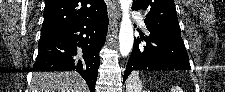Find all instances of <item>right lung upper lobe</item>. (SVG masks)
Instances as JSON below:
<instances>
[{"instance_id": "1", "label": "right lung upper lobe", "mask_w": 225, "mask_h": 92, "mask_svg": "<svg viewBox=\"0 0 225 92\" xmlns=\"http://www.w3.org/2000/svg\"><path fill=\"white\" fill-rule=\"evenodd\" d=\"M107 8L103 0H46L41 30H62L98 16Z\"/></svg>"}]
</instances>
